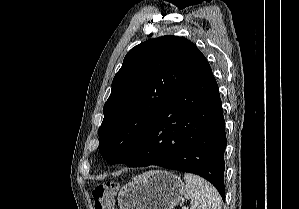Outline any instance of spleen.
Listing matches in <instances>:
<instances>
[{
	"label": "spleen",
	"instance_id": "1",
	"mask_svg": "<svg viewBox=\"0 0 299 209\" xmlns=\"http://www.w3.org/2000/svg\"><path fill=\"white\" fill-rule=\"evenodd\" d=\"M184 180V196L191 201L190 209H221V196L213 185L191 173H185Z\"/></svg>",
	"mask_w": 299,
	"mask_h": 209
}]
</instances>
